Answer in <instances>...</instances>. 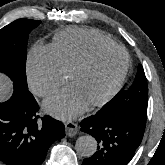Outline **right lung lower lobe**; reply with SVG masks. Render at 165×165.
Listing matches in <instances>:
<instances>
[{"mask_svg": "<svg viewBox=\"0 0 165 165\" xmlns=\"http://www.w3.org/2000/svg\"><path fill=\"white\" fill-rule=\"evenodd\" d=\"M28 87L14 83L12 97L0 103V161L7 165H41L49 146L65 136L62 122L39 116Z\"/></svg>", "mask_w": 165, "mask_h": 165, "instance_id": "1", "label": "right lung lower lobe"}]
</instances>
